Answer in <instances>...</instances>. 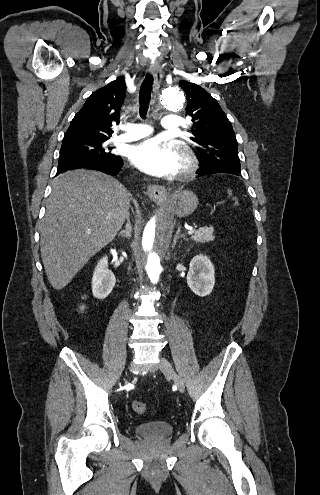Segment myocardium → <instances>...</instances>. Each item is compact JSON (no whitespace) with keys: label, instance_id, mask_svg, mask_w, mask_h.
Masks as SVG:
<instances>
[{"label":"myocardium","instance_id":"f54148a6","mask_svg":"<svg viewBox=\"0 0 320 495\" xmlns=\"http://www.w3.org/2000/svg\"><path fill=\"white\" fill-rule=\"evenodd\" d=\"M176 151L179 155L180 166L178 174L180 176H186L193 172L196 168V159L191 151L183 144H179L176 147Z\"/></svg>","mask_w":320,"mask_h":495}]
</instances>
